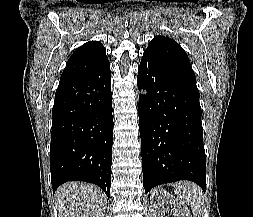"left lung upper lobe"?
<instances>
[{
	"mask_svg": "<svg viewBox=\"0 0 253 217\" xmlns=\"http://www.w3.org/2000/svg\"><path fill=\"white\" fill-rule=\"evenodd\" d=\"M143 55L153 59L174 74L196 83L187 54L173 39L156 36L151 40Z\"/></svg>",
	"mask_w": 253,
	"mask_h": 217,
	"instance_id": "obj_1",
	"label": "left lung upper lobe"
}]
</instances>
